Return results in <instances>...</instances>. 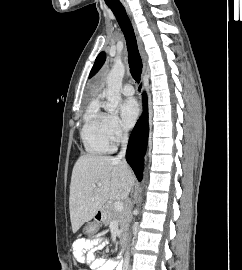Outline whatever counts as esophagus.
Segmentation results:
<instances>
[{
    "label": "esophagus",
    "instance_id": "obj_1",
    "mask_svg": "<svg viewBox=\"0 0 242 270\" xmlns=\"http://www.w3.org/2000/svg\"><path fill=\"white\" fill-rule=\"evenodd\" d=\"M125 9H126L127 13L131 16V11H130L128 5H125ZM134 28H135V31H136V26L135 25H134ZM138 40H139V38H138ZM145 73H146V63H145V61H143V75H142L141 81L138 84V94H139L140 97H142V94H143V89H144L143 76L145 75Z\"/></svg>",
    "mask_w": 242,
    "mask_h": 270
}]
</instances>
